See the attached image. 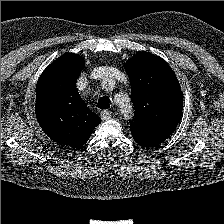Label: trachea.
<instances>
[{"instance_id": "1", "label": "trachea", "mask_w": 224, "mask_h": 224, "mask_svg": "<svg viewBox=\"0 0 224 224\" xmlns=\"http://www.w3.org/2000/svg\"><path fill=\"white\" fill-rule=\"evenodd\" d=\"M98 108L100 109H107L110 107V99L108 97H103L98 101L97 104Z\"/></svg>"}]
</instances>
